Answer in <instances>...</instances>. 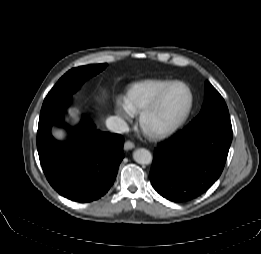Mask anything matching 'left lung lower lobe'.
I'll list each match as a JSON object with an SVG mask.
<instances>
[{
	"instance_id": "0a47b994",
	"label": "left lung lower lobe",
	"mask_w": 261,
	"mask_h": 254,
	"mask_svg": "<svg viewBox=\"0 0 261 254\" xmlns=\"http://www.w3.org/2000/svg\"><path fill=\"white\" fill-rule=\"evenodd\" d=\"M231 141V123L185 127L156 148L149 174L154 189L173 202L201 196L221 175Z\"/></svg>"
}]
</instances>
